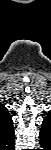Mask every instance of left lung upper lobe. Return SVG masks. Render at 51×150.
Here are the masks:
<instances>
[{
	"label": "left lung upper lobe",
	"mask_w": 51,
	"mask_h": 150,
	"mask_svg": "<svg viewBox=\"0 0 51 150\" xmlns=\"http://www.w3.org/2000/svg\"><path fill=\"white\" fill-rule=\"evenodd\" d=\"M41 131L47 135L49 138L51 137V111L47 115V117L44 119L42 123Z\"/></svg>",
	"instance_id": "5c2ea615"
}]
</instances>
